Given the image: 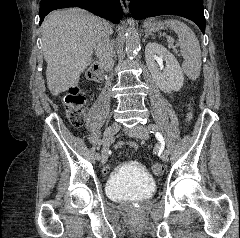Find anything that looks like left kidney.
I'll use <instances>...</instances> for the list:
<instances>
[{"instance_id": "left-kidney-1", "label": "left kidney", "mask_w": 240, "mask_h": 238, "mask_svg": "<svg viewBox=\"0 0 240 238\" xmlns=\"http://www.w3.org/2000/svg\"><path fill=\"white\" fill-rule=\"evenodd\" d=\"M145 60L151 76L158 87L165 93L179 91L184 82V75L177 59L164 46L149 42L145 48ZM164 60L165 69L158 68L156 63Z\"/></svg>"}]
</instances>
